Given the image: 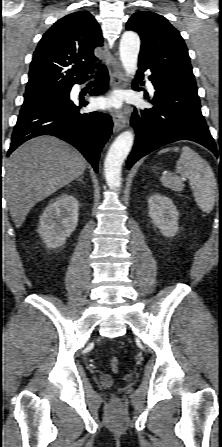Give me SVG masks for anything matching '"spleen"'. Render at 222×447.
Returning <instances> with one entry per match:
<instances>
[{
    "label": "spleen",
    "mask_w": 222,
    "mask_h": 447,
    "mask_svg": "<svg viewBox=\"0 0 222 447\" xmlns=\"http://www.w3.org/2000/svg\"><path fill=\"white\" fill-rule=\"evenodd\" d=\"M170 150L178 152L180 149L166 148L160 153ZM176 173L182 177L170 173L163 175L161 177L163 186L174 191H182L183 180L188 179L198 207L205 213L211 212L215 203L216 179L209 163L189 147H183L176 164Z\"/></svg>",
    "instance_id": "3e777b00"
}]
</instances>
